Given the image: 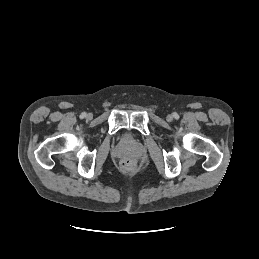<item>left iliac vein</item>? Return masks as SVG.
Instances as JSON below:
<instances>
[{
	"instance_id": "4c4485c4",
	"label": "left iliac vein",
	"mask_w": 259,
	"mask_h": 259,
	"mask_svg": "<svg viewBox=\"0 0 259 259\" xmlns=\"http://www.w3.org/2000/svg\"><path fill=\"white\" fill-rule=\"evenodd\" d=\"M166 119H167V121H169V122H170V121H172V120H173V116H172V115H168Z\"/></svg>"
}]
</instances>
